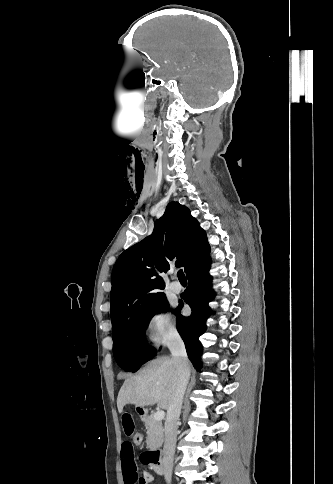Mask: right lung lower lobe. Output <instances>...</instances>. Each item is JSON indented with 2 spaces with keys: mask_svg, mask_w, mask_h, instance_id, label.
Returning <instances> with one entry per match:
<instances>
[{
  "mask_svg": "<svg viewBox=\"0 0 333 484\" xmlns=\"http://www.w3.org/2000/svg\"><path fill=\"white\" fill-rule=\"evenodd\" d=\"M210 264L211 260L207 257L187 275L189 286L184 300L192 309L191 316L183 317L179 314V310L183 306L182 303L179 304L176 311L178 315L177 330L184 340L188 357L196 370L202 367V345L198 338L206 331V320L211 315L208 302L214 296V292L211 289L212 277L209 275Z\"/></svg>",
  "mask_w": 333,
  "mask_h": 484,
  "instance_id": "98d812e1",
  "label": "right lung lower lobe"
}]
</instances>
